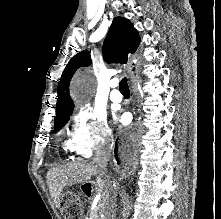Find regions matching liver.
Returning <instances> with one entry per match:
<instances>
[{"label": "liver", "mask_w": 221, "mask_h": 219, "mask_svg": "<svg viewBox=\"0 0 221 219\" xmlns=\"http://www.w3.org/2000/svg\"><path fill=\"white\" fill-rule=\"evenodd\" d=\"M97 175L96 192L101 195V207L105 214L114 211L117 194V183L111 178L99 176L92 163L74 161L62 166H57L47 172V185L51 198L56 207H60L63 189L75 184H85Z\"/></svg>", "instance_id": "obj_1"}]
</instances>
